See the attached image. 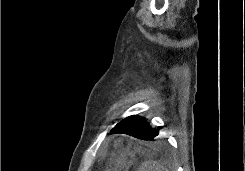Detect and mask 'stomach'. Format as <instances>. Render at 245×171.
I'll return each instance as SVG.
<instances>
[{
	"instance_id": "1",
	"label": "stomach",
	"mask_w": 245,
	"mask_h": 171,
	"mask_svg": "<svg viewBox=\"0 0 245 171\" xmlns=\"http://www.w3.org/2000/svg\"><path fill=\"white\" fill-rule=\"evenodd\" d=\"M120 142V141H119ZM134 151L131 150V145L124 148L123 151L109 164L110 168L105 171H122L128 169L134 163ZM127 171V170H125Z\"/></svg>"
}]
</instances>
